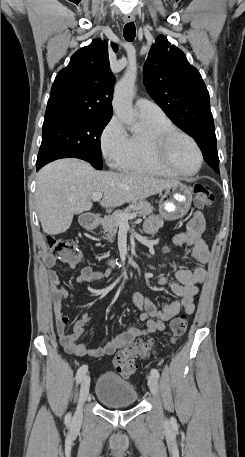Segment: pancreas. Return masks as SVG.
I'll list each match as a JSON object with an SVG mask.
<instances>
[{
    "instance_id": "cf45deb5",
    "label": "pancreas",
    "mask_w": 245,
    "mask_h": 457,
    "mask_svg": "<svg viewBox=\"0 0 245 457\" xmlns=\"http://www.w3.org/2000/svg\"><path fill=\"white\" fill-rule=\"evenodd\" d=\"M154 206H151L148 200H139V202H135V204H129L123 210H115L113 214H108V216H104L101 218L100 222L102 224V233H106L107 237L104 239H109L111 243H113L114 237H116L118 226H120V220L118 214H132V212H136L139 216H146V214H151L153 212Z\"/></svg>"
}]
</instances>
